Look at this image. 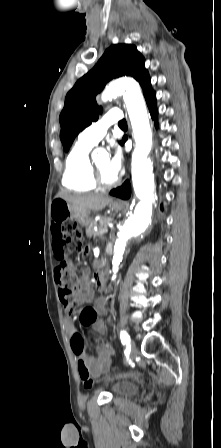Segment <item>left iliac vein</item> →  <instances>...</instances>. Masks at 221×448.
Masks as SVG:
<instances>
[{"mask_svg": "<svg viewBox=\"0 0 221 448\" xmlns=\"http://www.w3.org/2000/svg\"><path fill=\"white\" fill-rule=\"evenodd\" d=\"M137 353H138L137 346H136L135 342L132 341L130 343V354H129L130 358L133 359L137 355Z\"/></svg>", "mask_w": 221, "mask_h": 448, "instance_id": "4c4485c4", "label": "left iliac vein"}]
</instances>
